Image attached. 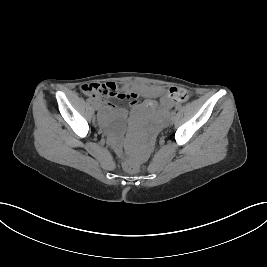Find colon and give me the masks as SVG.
<instances>
[{
	"instance_id": "1",
	"label": "colon",
	"mask_w": 267,
	"mask_h": 267,
	"mask_svg": "<svg viewBox=\"0 0 267 267\" xmlns=\"http://www.w3.org/2000/svg\"><path fill=\"white\" fill-rule=\"evenodd\" d=\"M86 85L88 86L87 91L84 92L82 90V92L88 96H97L106 99H120L125 97L116 87L107 84L91 83ZM171 96L177 102H184L189 99L190 92L183 88H174L171 90ZM124 168L129 172H135L138 169V164L125 161Z\"/></svg>"
}]
</instances>
